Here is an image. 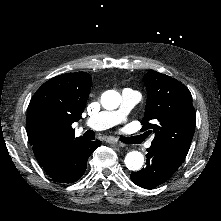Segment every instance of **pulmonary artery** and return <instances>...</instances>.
Wrapping results in <instances>:
<instances>
[{
    "mask_svg": "<svg viewBox=\"0 0 221 221\" xmlns=\"http://www.w3.org/2000/svg\"><path fill=\"white\" fill-rule=\"evenodd\" d=\"M121 100L122 103L118 109L92 114L88 118V127L92 131L98 132L103 129H112L114 126H121L125 119H131L135 115V107L139 104V95L135 91H126Z\"/></svg>",
    "mask_w": 221,
    "mask_h": 221,
    "instance_id": "obj_1",
    "label": "pulmonary artery"
}]
</instances>
